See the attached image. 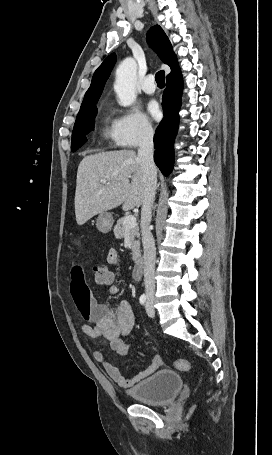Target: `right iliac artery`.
I'll return each instance as SVG.
<instances>
[{"label":"right iliac artery","instance_id":"1","mask_svg":"<svg viewBox=\"0 0 272 455\" xmlns=\"http://www.w3.org/2000/svg\"><path fill=\"white\" fill-rule=\"evenodd\" d=\"M146 295L145 294H142L139 298V301L142 305H144L146 303Z\"/></svg>","mask_w":272,"mask_h":455}]
</instances>
